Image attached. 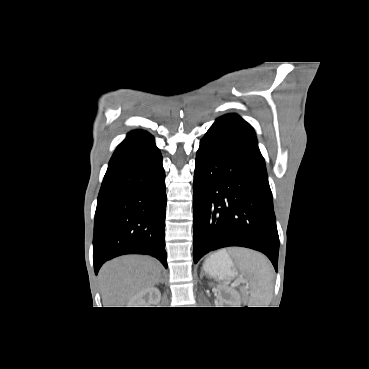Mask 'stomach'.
<instances>
[{
  "label": "stomach",
  "instance_id": "stomach-1",
  "mask_svg": "<svg viewBox=\"0 0 369 369\" xmlns=\"http://www.w3.org/2000/svg\"><path fill=\"white\" fill-rule=\"evenodd\" d=\"M203 267L206 273L220 280L232 279L237 275L233 261L225 250L211 255Z\"/></svg>",
  "mask_w": 369,
  "mask_h": 369
}]
</instances>
